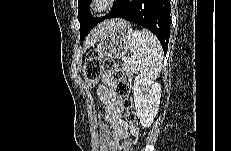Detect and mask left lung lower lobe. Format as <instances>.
<instances>
[{"mask_svg":"<svg viewBox=\"0 0 231 151\" xmlns=\"http://www.w3.org/2000/svg\"><path fill=\"white\" fill-rule=\"evenodd\" d=\"M106 18H123L150 30L157 36L166 54L170 36L169 0H123L101 21Z\"/></svg>","mask_w":231,"mask_h":151,"instance_id":"0a47b994","label":"left lung lower lobe"}]
</instances>
